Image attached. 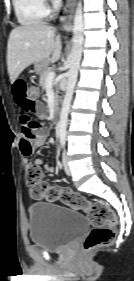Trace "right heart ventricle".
I'll return each instance as SVG.
<instances>
[{
	"label": "right heart ventricle",
	"mask_w": 134,
	"mask_h": 281,
	"mask_svg": "<svg viewBox=\"0 0 134 281\" xmlns=\"http://www.w3.org/2000/svg\"><path fill=\"white\" fill-rule=\"evenodd\" d=\"M17 20L22 25H33L48 15L45 0H13Z\"/></svg>",
	"instance_id": "1"
}]
</instances>
